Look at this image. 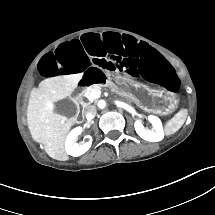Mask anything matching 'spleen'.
<instances>
[{"instance_id": "spleen-1", "label": "spleen", "mask_w": 215, "mask_h": 215, "mask_svg": "<svg viewBox=\"0 0 215 215\" xmlns=\"http://www.w3.org/2000/svg\"><path fill=\"white\" fill-rule=\"evenodd\" d=\"M187 113L178 112L171 120H169L164 128L165 135L169 136L176 133L186 120Z\"/></svg>"}]
</instances>
